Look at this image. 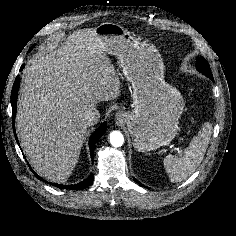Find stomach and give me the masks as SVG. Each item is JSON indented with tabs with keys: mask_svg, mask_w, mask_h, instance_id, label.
<instances>
[{
	"mask_svg": "<svg viewBox=\"0 0 236 236\" xmlns=\"http://www.w3.org/2000/svg\"><path fill=\"white\" fill-rule=\"evenodd\" d=\"M95 32L105 53L119 59L122 73L132 85L133 111H120L117 116L127 125L134 147L148 152L169 144L178 133L184 101L164 80L160 53L115 23H102Z\"/></svg>",
	"mask_w": 236,
	"mask_h": 236,
	"instance_id": "0dacf381",
	"label": "stomach"
}]
</instances>
